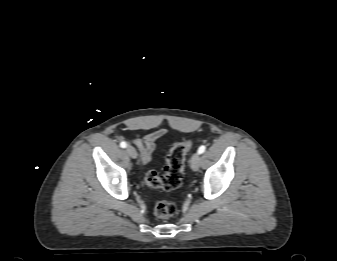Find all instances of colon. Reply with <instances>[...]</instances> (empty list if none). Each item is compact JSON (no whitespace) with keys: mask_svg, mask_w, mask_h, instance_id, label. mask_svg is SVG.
Returning <instances> with one entry per match:
<instances>
[{"mask_svg":"<svg viewBox=\"0 0 337 261\" xmlns=\"http://www.w3.org/2000/svg\"><path fill=\"white\" fill-rule=\"evenodd\" d=\"M191 140L176 142L167 156L164 174L158 175L149 171L145 175V183L153 189L171 191L177 189L182 182L186 155L191 148ZM177 213V206L170 201H160L154 207V214L159 219H169Z\"/></svg>","mask_w":337,"mask_h":261,"instance_id":"5ec220e1","label":"colon"}]
</instances>
